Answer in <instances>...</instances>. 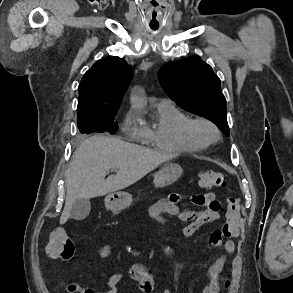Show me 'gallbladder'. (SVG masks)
Instances as JSON below:
<instances>
[{
	"mask_svg": "<svg viewBox=\"0 0 293 293\" xmlns=\"http://www.w3.org/2000/svg\"><path fill=\"white\" fill-rule=\"evenodd\" d=\"M90 210L89 199H77L72 205L70 216L74 220H83L89 215Z\"/></svg>",
	"mask_w": 293,
	"mask_h": 293,
	"instance_id": "obj_1",
	"label": "gallbladder"
}]
</instances>
